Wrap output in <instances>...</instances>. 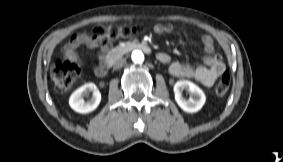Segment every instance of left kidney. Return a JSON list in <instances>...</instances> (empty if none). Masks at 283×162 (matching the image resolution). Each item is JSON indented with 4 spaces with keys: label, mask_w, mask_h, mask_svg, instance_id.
<instances>
[{
    "label": "left kidney",
    "mask_w": 283,
    "mask_h": 162,
    "mask_svg": "<svg viewBox=\"0 0 283 162\" xmlns=\"http://www.w3.org/2000/svg\"><path fill=\"white\" fill-rule=\"evenodd\" d=\"M186 90L190 97L185 99L182 96V91ZM175 100L179 107L188 113H194L199 111L206 101V96L202 89H200L196 84L188 80L177 81L174 85Z\"/></svg>",
    "instance_id": "left-kidney-1"
}]
</instances>
